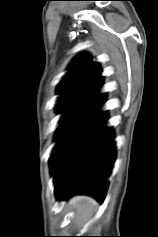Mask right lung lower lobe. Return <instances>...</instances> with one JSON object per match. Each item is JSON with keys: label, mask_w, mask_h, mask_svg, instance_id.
<instances>
[{"label": "right lung lower lobe", "mask_w": 158, "mask_h": 237, "mask_svg": "<svg viewBox=\"0 0 158 237\" xmlns=\"http://www.w3.org/2000/svg\"><path fill=\"white\" fill-rule=\"evenodd\" d=\"M102 94L80 106L59 125L58 140L50 166L57 198L77 193L88 194L103 202L108 176L115 161L114 136L106 127V112L100 110Z\"/></svg>", "instance_id": "1"}]
</instances>
